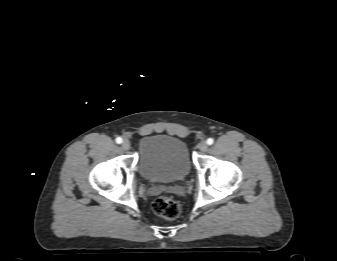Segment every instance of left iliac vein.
Listing matches in <instances>:
<instances>
[{"instance_id":"1","label":"left iliac vein","mask_w":337,"mask_h":261,"mask_svg":"<svg viewBox=\"0 0 337 261\" xmlns=\"http://www.w3.org/2000/svg\"><path fill=\"white\" fill-rule=\"evenodd\" d=\"M198 147L200 151H203V152L206 151L208 149L207 142L205 141L200 142Z\"/></svg>"}]
</instances>
